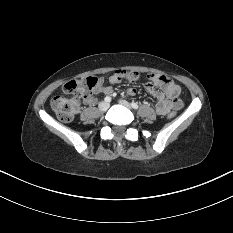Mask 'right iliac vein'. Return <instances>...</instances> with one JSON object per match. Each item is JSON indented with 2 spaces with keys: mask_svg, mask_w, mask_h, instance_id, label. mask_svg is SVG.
Returning a JSON list of instances; mask_svg holds the SVG:
<instances>
[{
  "mask_svg": "<svg viewBox=\"0 0 233 233\" xmlns=\"http://www.w3.org/2000/svg\"><path fill=\"white\" fill-rule=\"evenodd\" d=\"M109 108V103L108 102H101L99 104V109L101 111H106Z\"/></svg>",
  "mask_w": 233,
  "mask_h": 233,
  "instance_id": "obj_1",
  "label": "right iliac vein"
}]
</instances>
